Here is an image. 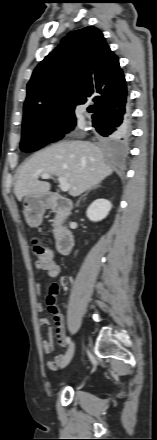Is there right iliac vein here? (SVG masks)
Listing matches in <instances>:
<instances>
[{
    "label": "right iliac vein",
    "instance_id": "right-iliac-vein-1",
    "mask_svg": "<svg viewBox=\"0 0 157 440\" xmlns=\"http://www.w3.org/2000/svg\"><path fill=\"white\" fill-rule=\"evenodd\" d=\"M74 351H75V344H74V342H72L70 348L68 349V351L66 353L64 361L60 365V367L62 369L65 368L70 363V361L72 360V357L74 355Z\"/></svg>",
    "mask_w": 157,
    "mask_h": 440
}]
</instances>
